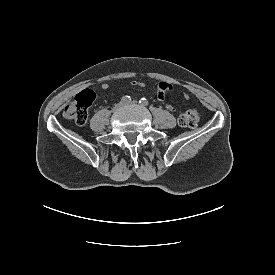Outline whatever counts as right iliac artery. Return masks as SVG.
Listing matches in <instances>:
<instances>
[{"label": "right iliac artery", "instance_id": "right-iliac-artery-1", "mask_svg": "<svg viewBox=\"0 0 275 275\" xmlns=\"http://www.w3.org/2000/svg\"><path fill=\"white\" fill-rule=\"evenodd\" d=\"M131 101V97L130 96H123L121 98V103L126 104L129 103Z\"/></svg>", "mask_w": 275, "mask_h": 275}]
</instances>
